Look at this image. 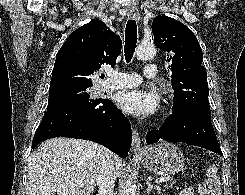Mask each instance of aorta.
<instances>
[{
    "instance_id": "1",
    "label": "aorta",
    "mask_w": 245,
    "mask_h": 195,
    "mask_svg": "<svg viewBox=\"0 0 245 195\" xmlns=\"http://www.w3.org/2000/svg\"><path fill=\"white\" fill-rule=\"evenodd\" d=\"M156 54V49L153 45H144L141 44L136 50V55L138 59L148 60L152 59ZM124 195H136V185L132 180V177L129 176L125 181Z\"/></svg>"
}]
</instances>
